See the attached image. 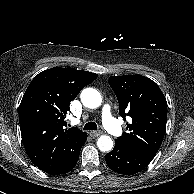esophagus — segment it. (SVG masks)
Masks as SVG:
<instances>
[{"instance_id": "1", "label": "esophagus", "mask_w": 194, "mask_h": 194, "mask_svg": "<svg viewBox=\"0 0 194 194\" xmlns=\"http://www.w3.org/2000/svg\"><path fill=\"white\" fill-rule=\"evenodd\" d=\"M101 134H102L101 131H91V132H90V135H91L92 137H98V136H100Z\"/></svg>"}]
</instances>
